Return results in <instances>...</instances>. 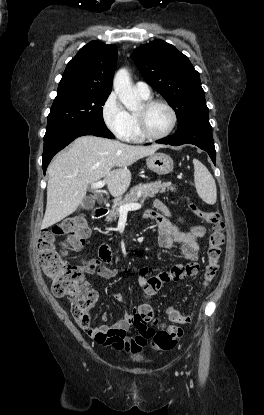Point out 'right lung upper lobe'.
Instances as JSON below:
<instances>
[{
    "label": "right lung upper lobe",
    "mask_w": 264,
    "mask_h": 415,
    "mask_svg": "<svg viewBox=\"0 0 264 415\" xmlns=\"http://www.w3.org/2000/svg\"><path fill=\"white\" fill-rule=\"evenodd\" d=\"M117 62L115 45L92 41L67 64L57 95L110 94Z\"/></svg>",
    "instance_id": "cb5924a9"
}]
</instances>
